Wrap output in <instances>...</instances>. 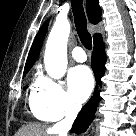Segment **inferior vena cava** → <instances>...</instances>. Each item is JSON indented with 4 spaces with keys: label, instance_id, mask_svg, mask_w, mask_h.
Wrapping results in <instances>:
<instances>
[{
    "label": "inferior vena cava",
    "instance_id": "inferior-vena-cava-1",
    "mask_svg": "<svg viewBox=\"0 0 136 136\" xmlns=\"http://www.w3.org/2000/svg\"><path fill=\"white\" fill-rule=\"evenodd\" d=\"M80 109L81 105L78 104H71L67 107L65 119L56 123L53 127L59 133V136H67V132L72 127V124L76 119Z\"/></svg>",
    "mask_w": 136,
    "mask_h": 136
}]
</instances>
